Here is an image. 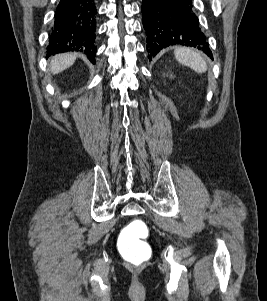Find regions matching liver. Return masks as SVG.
Segmentation results:
<instances>
[{"instance_id":"liver-1","label":"liver","mask_w":267,"mask_h":301,"mask_svg":"<svg viewBox=\"0 0 267 301\" xmlns=\"http://www.w3.org/2000/svg\"><path fill=\"white\" fill-rule=\"evenodd\" d=\"M77 55L75 53H62L52 57L50 61V70L53 75L58 74L71 67Z\"/></svg>"}]
</instances>
